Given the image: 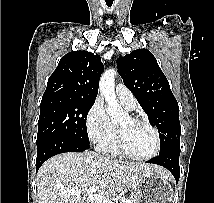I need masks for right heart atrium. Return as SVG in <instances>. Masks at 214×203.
Listing matches in <instances>:
<instances>
[{
    "label": "right heart atrium",
    "instance_id": "d8ad5b80",
    "mask_svg": "<svg viewBox=\"0 0 214 203\" xmlns=\"http://www.w3.org/2000/svg\"><path fill=\"white\" fill-rule=\"evenodd\" d=\"M85 128L91 142L99 147L108 142L115 134L116 126L107 115L100 99H96L88 110Z\"/></svg>",
    "mask_w": 214,
    "mask_h": 203
}]
</instances>
